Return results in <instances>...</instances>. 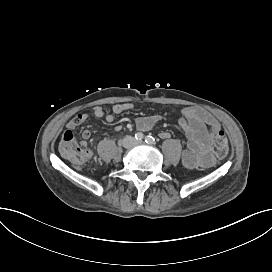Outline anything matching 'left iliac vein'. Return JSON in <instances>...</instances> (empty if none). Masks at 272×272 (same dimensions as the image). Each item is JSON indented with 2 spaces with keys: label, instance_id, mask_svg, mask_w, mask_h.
<instances>
[{
  "label": "left iliac vein",
  "instance_id": "left-iliac-vein-1",
  "mask_svg": "<svg viewBox=\"0 0 272 272\" xmlns=\"http://www.w3.org/2000/svg\"><path fill=\"white\" fill-rule=\"evenodd\" d=\"M142 142H138V141H135L133 144L134 145H139V144H141Z\"/></svg>",
  "mask_w": 272,
  "mask_h": 272
}]
</instances>
